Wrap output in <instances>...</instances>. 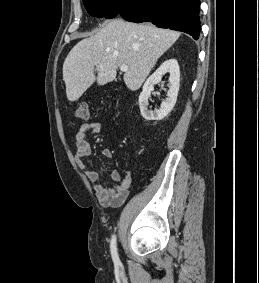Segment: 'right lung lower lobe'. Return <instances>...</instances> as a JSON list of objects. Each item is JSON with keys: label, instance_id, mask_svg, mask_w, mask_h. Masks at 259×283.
I'll return each mask as SVG.
<instances>
[{"label": "right lung lower lobe", "instance_id": "right-lung-lower-lobe-1", "mask_svg": "<svg viewBox=\"0 0 259 283\" xmlns=\"http://www.w3.org/2000/svg\"><path fill=\"white\" fill-rule=\"evenodd\" d=\"M114 16L121 15L132 22H150L191 35L200 34V0H117Z\"/></svg>", "mask_w": 259, "mask_h": 283}]
</instances>
